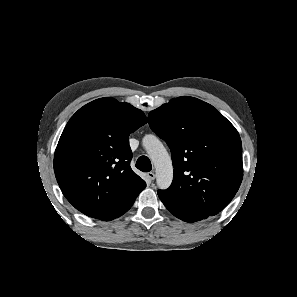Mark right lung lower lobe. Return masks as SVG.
<instances>
[{
    "instance_id": "right-lung-lower-lobe-1",
    "label": "right lung lower lobe",
    "mask_w": 297,
    "mask_h": 297,
    "mask_svg": "<svg viewBox=\"0 0 297 297\" xmlns=\"http://www.w3.org/2000/svg\"><path fill=\"white\" fill-rule=\"evenodd\" d=\"M135 201V200H134ZM134 201L132 202V203H130L129 205H128V207L119 215V216H121V215H123L126 211H128L130 208H131V206L133 205V203H134ZM118 216V217H119Z\"/></svg>"
}]
</instances>
